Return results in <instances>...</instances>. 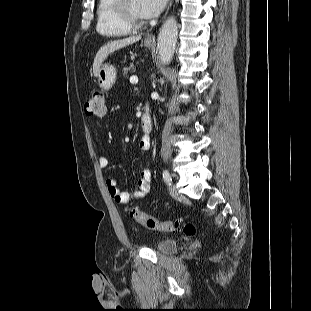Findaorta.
Returning a JSON list of instances; mask_svg holds the SVG:
<instances>
[{"mask_svg": "<svg viewBox=\"0 0 311 311\" xmlns=\"http://www.w3.org/2000/svg\"><path fill=\"white\" fill-rule=\"evenodd\" d=\"M178 37L177 21L169 17L162 25L157 38V52L162 63L171 62Z\"/></svg>", "mask_w": 311, "mask_h": 311, "instance_id": "obj_1", "label": "aorta"}]
</instances>
